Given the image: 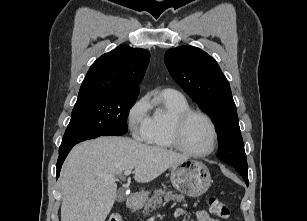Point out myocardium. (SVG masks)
<instances>
[{
	"label": "myocardium",
	"mask_w": 307,
	"mask_h": 221,
	"mask_svg": "<svg viewBox=\"0 0 307 221\" xmlns=\"http://www.w3.org/2000/svg\"><path fill=\"white\" fill-rule=\"evenodd\" d=\"M193 116H201L203 117L209 124L212 131V143L211 147L202 153H197L189 150L183 143L182 137L185 126L187 122ZM172 143L173 146L179 150L180 152L195 158H202L211 155L218 144V130L214 120L205 112L197 109H188L182 113H180L174 120L173 129H172Z\"/></svg>",
	"instance_id": "f54148a6"
}]
</instances>
